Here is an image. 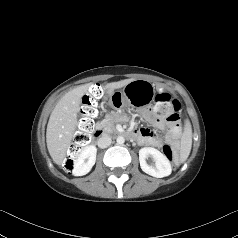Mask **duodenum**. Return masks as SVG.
I'll return each instance as SVG.
<instances>
[{"label": "duodenum", "instance_id": "obj_1", "mask_svg": "<svg viewBox=\"0 0 238 238\" xmlns=\"http://www.w3.org/2000/svg\"><path fill=\"white\" fill-rule=\"evenodd\" d=\"M109 132L104 129V128H96L95 131H94V135L96 137H102L104 135H107ZM127 137H130V138H134L135 137V134L133 133H126L125 134Z\"/></svg>", "mask_w": 238, "mask_h": 238}]
</instances>
